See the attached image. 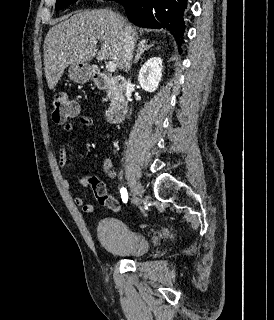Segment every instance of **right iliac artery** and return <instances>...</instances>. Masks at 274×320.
<instances>
[{
	"label": "right iliac artery",
	"instance_id": "1",
	"mask_svg": "<svg viewBox=\"0 0 274 320\" xmlns=\"http://www.w3.org/2000/svg\"><path fill=\"white\" fill-rule=\"evenodd\" d=\"M120 193H121L122 201H123L124 203H127V201H128V193H127V190L123 187V188H121Z\"/></svg>",
	"mask_w": 274,
	"mask_h": 320
}]
</instances>
